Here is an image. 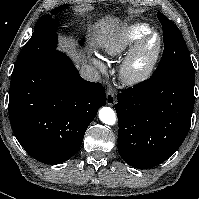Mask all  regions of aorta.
<instances>
[{
	"label": "aorta",
	"instance_id": "762f6f07",
	"mask_svg": "<svg viewBox=\"0 0 199 199\" xmlns=\"http://www.w3.org/2000/svg\"><path fill=\"white\" fill-rule=\"evenodd\" d=\"M100 120L107 125H114L116 123V115L112 108L102 107L99 110Z\"/></svg>",
	"mask_w": 199,
	"mask_h": 199
}]
</instances>
